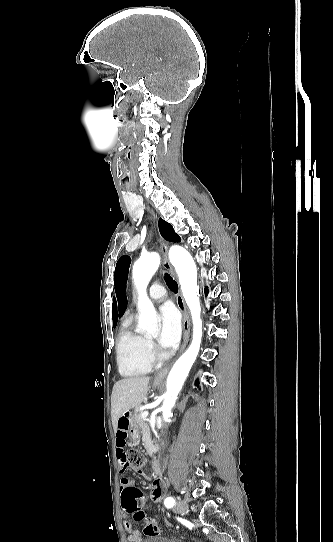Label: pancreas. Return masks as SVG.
<instances>
[{"label": "pancreas", "mask_w": 333, "mask_h": 542, "mask_svg": "<svg viewBox=\"0 0 333 542\" xmlns=\"http://www.w3.org/2000/svg\"><path fill=\"white\" fill-rule=\"evenodd\" d=\"M141 414L142 412H140L139 408H135L132 420H134L135 424L139 426L141 432H147V430H149V426L146 424V420H142Z\"/></svg>", "instance_id": "cf45deb5"}]
</instances>
